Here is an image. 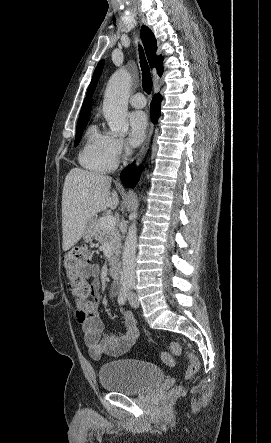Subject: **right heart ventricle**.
Returning <instances> with one entry per match:
<instances>
[{"instance_id": "e07e8e85", "label": "right heart ventricle", "mask_w": 271, "mask_h": 443, "mask_svg": "<svg viewBox=\"0 0 271 443\" xmlns=\"http://www.w3.org/2000/svg\"><path fill=\"white\" fill-rule=\"evenodd\" d=\"M110 134L101 132L96 125H91L84 138V144L79 153L80 164L92 171L110 172L116 166V161L109 153Z\"/></svg>"}]
</instances>
